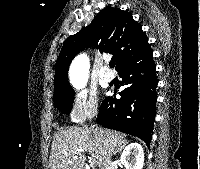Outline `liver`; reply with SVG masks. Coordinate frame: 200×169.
I'll use <instances>...</instances> for the list:
<instances>
[{"label":"liver","instance_id":"liver-1","mask_svg":"<svg viewBox=\"0 0 200 169\" xmlns=\"http://www.w3.org/2000/svg\"><path fill=\"white\" fill-rule=\"evenodd\" d=\"M127 143L124 134L94 127L61 129L54 134L49 158L50 169H84L86 153L93 164L105 169L108 156Z\"/></svg>","mask_w":200,"mask_h":169}]
</instances>
